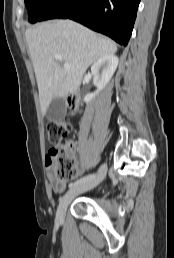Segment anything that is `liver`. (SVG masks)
I'll return each instance as SVG.
<instances>
[{"instance_id": "obj_1", "label": "liver", "mask_w": 174, "mask_h": 258, "mask_svg": "<svg viewBox=\"0 0 174 258\" xmlns=\"http://www.w3.org/2000/svg\"><path fill=\"white\" fill-rule=\"evenodd\" d=\"M39 90L42 113L53 98L75 92L88 67L107 55H114L116 44L70 20L42 23L25 32ZM61 57L56 60L55 56ZM69 64L64 69L60 64Z\"/></svg>"}]
</instances>
